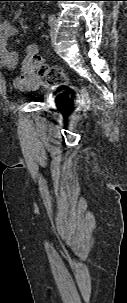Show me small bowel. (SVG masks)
<instances>
[{
  "mask_svg": "<svg viewBox=\"0 0 127 303\" xmlns=\"http://www.w3.org/2000/svg\"><path fill=\"white\" fill-rule=\"evenodd\" d=\"M17 34V28L9 21H0V65L7 69H14L18 65L19 56L8 48L9 41ZM38 47L31 45L22 62L20 76L14 80V85L20 90H34L41 84V78L36 74L30 63L31 53L37 52Z\"/></svg>",
  "mask_w": 127,
  "mask_h": 303,
  "instance_id": "c3829d8e",
  "label": "small bowel"
}]
</instances>
